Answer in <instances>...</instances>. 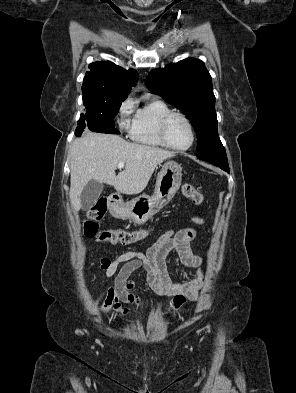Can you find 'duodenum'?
<instances>
[{"label": "duodenum", "mask_w": 296, "mask_h": 393, "mask_svg": "<svg viewBox=\"0 0 296 393\" xmlns=\"http://www.w3.org/2000/svg\"><path fill=\"white\" fill-rule=\"evenodd\" d=\"M110 200H111V202L112 203H114L115 202V199L112 197V198H110Z\"/></svg>", "instance_id": "obj_1"}]
</instances>
